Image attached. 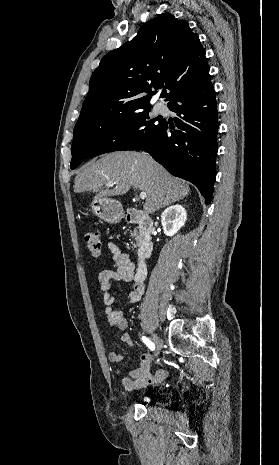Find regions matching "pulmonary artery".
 <instances>
[{"mask_svg": "<svg viewBox=\"0 0 279 465\" xmlns=\"http://www.w3.org/2000/svg\"><path fill=\"white\" fill-rule=\"evenodd\" d=\"M156 108H157V110H158L159 112H164V111L166 110L165 105H163V104H161V103L158 104V105L156 106Z\"/></svg>", "mask_w": 279, "mask_h": 465, "instance_id": "e3ab8cb5", "label": "pulmonary artery"}]
</instances>
